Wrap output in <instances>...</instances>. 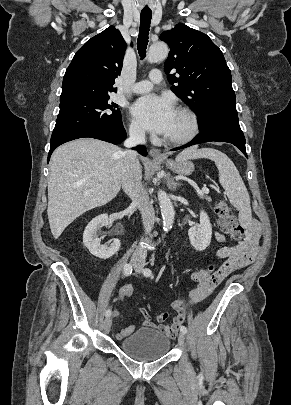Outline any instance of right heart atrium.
Here are the masks:
<instances>
[{"label": "right heart atrium", "instance_id": "1", "mask_svg": "<svg viewBox=\"0 0 291 405\" xmlns=\"http://www.w3.org/2000/svg\"><path fill=\"white\" fill-rule=\"evenodd\" d=\"M128 132L132 138L137 139V140L143 139L144 135H145V132L142 129V127L134 121H132L129 124Z\"/></svg>", "mask_w": 291, "mask_h": 405}]
</instances>
